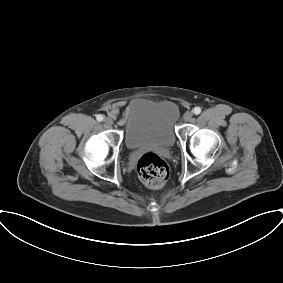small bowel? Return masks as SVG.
Returning <instances> with one entry per match:
<instances>
[{
	"label": "small bowel",
	"mask_w": 283,
	"mask_h": 283,
	"mask_svg": "<svg viewBox=\"0 0 283 283\" xmlns=\"http://www.w3.org/2000/svg\"><path fill=\"white\" fill-rule=\"evenodd\" d=\"M124 106L125 103L123 101H120L109 109V116L113 119H116L119 125H124L126 122L125 113L120 115V109Z\"/></svg>",
	"instance_id": "1"
}]
</instances>
